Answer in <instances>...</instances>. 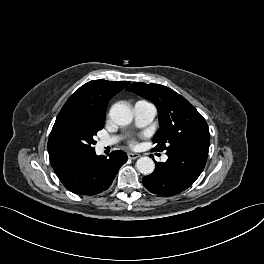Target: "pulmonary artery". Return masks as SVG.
<instances>
[{
  "instance_id": "obj_1",
  "label": "pulmonary artery",
  "mask_w": 264,
  "mask_h": 264,
  "mask_svg": "<svg viewBox=\"0 0 264 264\" xmlns=\"http://www.w3.org/2000/svg\"><path fill=\"white\" fill-rule=\"evenodd\" d=\"M133 110H134L135 122L139 127H144L150 124L154 120L157 114L156 107L152 103L144 100H140L136 102ZM118 140L119 137L117 136L104 139L99 142V146L106 147L115 144ZM162 160L166 161L167 156L163 155Z\"/></svg>"
}]
</instances>
